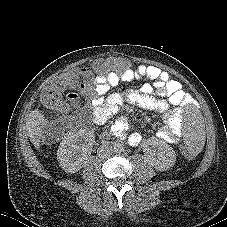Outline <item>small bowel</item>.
<instances>
[{"mask_svg": "<svg viewBox=\"0 0 227 227\" xmlns=\"http://www.w3.org/2000/svg\"><path fill=\"white\" fill-rule=\"evenodd\" d=\"M80 74L91 83L77 80L70 87L73 91L67 94V99L76 110L68 114L69 119H75L83 114V110H89L93 122L96 125H104L121 104L120 97L115 94L106 97L110 89L121 83L145 79L148 83L139 90L128 92L126 99L142 109L163 113V126L156 133L159 139L175 143L181 138L182 120L177 108L188 103L189 99L181 83L171 78L166 71L142 64L134 69L112 71L94 78L87 68H82ZM111 133L132 146L139 145L143 140L141 133L129 130V125L124 119H118L112 124Z\"/></svg>", "mask_w": 227, "mask_h": 227, "instance_id": "1", "label": "small bowel"}]
</instances>
